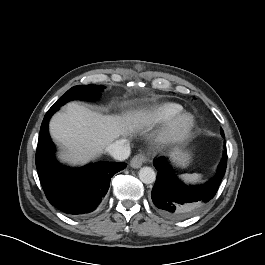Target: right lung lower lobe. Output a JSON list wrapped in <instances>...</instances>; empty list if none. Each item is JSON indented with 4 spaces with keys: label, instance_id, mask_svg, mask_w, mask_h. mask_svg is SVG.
I'll list each match as a JSON object with an SVG mask.
<instances>
[{
    "label": "right lung lower lobe",
    "instance_id": "obj_1",
    "mask_svg": "<svg viewBox=\"0 0 265 265\" xmlns=\"http://www.w3.org/2000/svg\"><path fill=\"white\" fill-rule=\"evenodd\" d=\"M51 107L42 122L36 151V167L48 201L60 211L81 217L94 211L107 193L112 176L126 167L122 162H98L82 168L63 166L54 157L48 132Z\"/></svg>",
    "mask_w": 265,
    "mask_h": 265
}]
</instances>
